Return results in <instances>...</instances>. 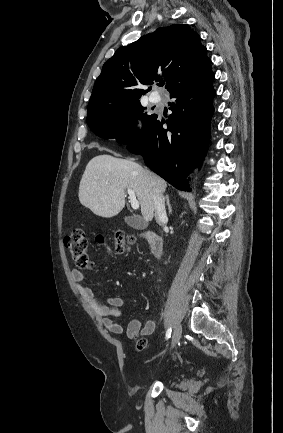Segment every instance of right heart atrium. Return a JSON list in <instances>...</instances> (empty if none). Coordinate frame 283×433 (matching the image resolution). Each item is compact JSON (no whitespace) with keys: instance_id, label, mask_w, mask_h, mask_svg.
<instances>
[{"instance_id":"d8ad5b80","label":"right heart atrium","mask_w":283,"mask_h":433,"mask_svg":"<svg viewBox=\"0 0 283 433\" xmlns=\"http://www.w3.org/2000/svg\"><path fill=\"white\" fill-rule=\"evenodd\" d=\"M134 125H135V119L133 117H126L120 123L121 128L125 131L131 130L134 127Z\"/></svg>"}]
</instances>
